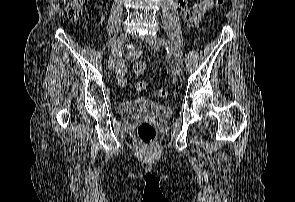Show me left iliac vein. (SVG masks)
<instances>
[{
    "mask_svg": "<svg viewBox=\"0 0 295 202\" xmlns=\"http://www.w3.org/2000/svg\"><path fill=\"white\" fill-rule=\"evenodd\" d=\"M145 41L149 44V45H151L152 47H154V48H158V47H160L161 45H163L162 44V42H161V39L158 37V36H156V35H148V36H146L145 37ZM175 73H176V75L177 76H179V77H181L182 76V68L180 67V65H176L175 66Z\"/></svg>",
    "mask_w": 295,
    "mask_h": 202,
    "instance_id": "obj_1",
    "label": "left iliac vein"
}]
</instances>
